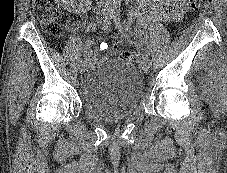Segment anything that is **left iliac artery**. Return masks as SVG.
Instances as JSON below:
<instances>
[{"label": "left iliac artery", "instance_id": "obj_1", "mask_svg": "<svg viewBox=\"0 0 227 173\" xmlns=\"http://www.w3.org/2000/svg\"><path fill=\"white\" fill-rule=\"evenodd\" d=\"M114 22H115V25L117 27V29L119 30V32L125 37L127 38L128 41H131L130 40V36L128 35L126 29H124L123 25H122V22H121V16H120V11L116 9V11L114 12ZM147 60L148 57H147Z\"/></svg>", "mask_w": 227, "mask_h": 173}]
</instances>
